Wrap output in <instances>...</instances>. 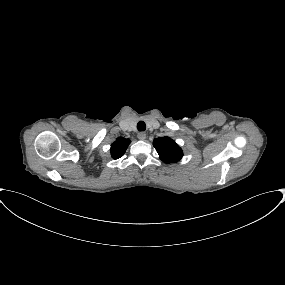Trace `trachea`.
Here are the masks:
<instances>
[{
    "instance_id": "obj_1",
    "label": "trachea",
    "mask_w": 285,
    "mask_h": 285,
    "mask_svg": "<svg viewBox=\"0 0 285 285\" xmlns=\"http://www.w3.org/2000/svg\"><path fill=\"white\" fill-rule=\"evenodd\" d=\"M137 129H138L139 131H145V129H146V124H145V122L139 121V122L137 123Z\"/></svg>"
}]
</instances>
